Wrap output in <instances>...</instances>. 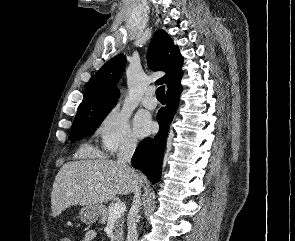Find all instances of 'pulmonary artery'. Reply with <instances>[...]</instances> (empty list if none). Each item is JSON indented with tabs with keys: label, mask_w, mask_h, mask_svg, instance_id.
Returning <instances> with one entry per match:
<instances>
[{
	"label": "pulmonary artery",
	"mask_w": 295,
	"mask_h": 241,
	"mask_svg": "<svg viewBox=\"0 0 295 241\" xmlns=\"http://www.w3.org/2000/svg\"><path fill=\"white\" fill-rule=\"evenodd\" d=\"M154 90L153 89H148L142 98V105L147 108V109H154L157 106V102L154 98Z\"/></svg>",
	"instance_id": "e3ab8cb5"
}]
</instances>
